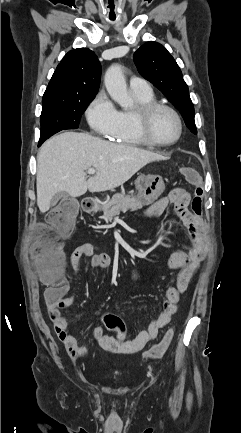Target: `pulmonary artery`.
<instances>
[{
	"instance_id": "1",
	"label": "pulmonary artery",
	"mask_w": 241,
	"mask_h": 433,
	"mask_svg": "<svg viewBox=\"0 0 241 433\" xmlns=\"http://www.w3.org/2000/svg\"><path fill=\"white\" fill-rule=\"evenodd\" d=\"M130 88L133 92L141 94L152 93V88L150 83L142 77H133L130 79Z\"/></svg>"
}]
</instances>
